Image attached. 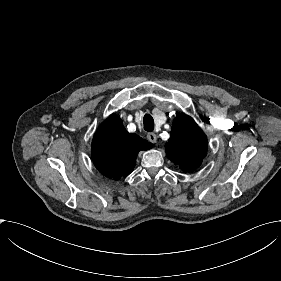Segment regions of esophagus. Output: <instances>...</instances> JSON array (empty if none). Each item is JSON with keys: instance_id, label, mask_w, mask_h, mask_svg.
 <instances>
[{"instance_id": "34e87169", "label": "esophagus", "mask_w": 281, "mask_h": 281, "mask_svg": "<svg viewBox=\"0 0 281 281\" xmlns=\"http://www.w3.org/2000/svg\"><path fill=\"white\" fill-rule=\"evenodd\" d=\"M147 139L152 142V143H156L157 142V136L155 133H148L147 134Z\"/></svg>"}]
</instances>
